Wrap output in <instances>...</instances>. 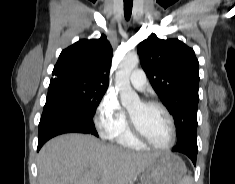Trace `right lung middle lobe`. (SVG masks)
Wrapping results in <instances>:
<instances>
[{
	"instance_id": "right-lung-middle-lobe-1",
	"label": "right lung middle lobe",
	"mask_w": 235,
	"mask_h": 184,
	"mask_svg": "<svg viewBox=\"0 0 235 184\" xmlns=\"http://www.w3.org/2000/svg\"><path fill=\"white\" fill-rule=\"evenodd\" d=\"M108 87L98 85H84L79 83H67L58 89L49 92L71 101L89 116H94Z\"/></svg>"
}]
</instances>
